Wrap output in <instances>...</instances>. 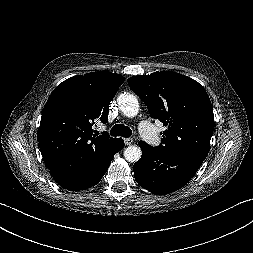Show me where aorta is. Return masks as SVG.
Returning a JSON list of instances; mask_svg holds the SVG:
<instances>
[{"mask_svg": "<svg viewBox=\"0 0 253 253\" xmlns=\"http://www.w3.org/2000/svg\"><path fill=\"white\" fill-rule=\"evenodd\" d=\"M119 109L129 118L135 117L139 111V102L136 96L130 93H122L117 99ZM142 155L140 147L131 145L124 151V157L129 162H137Z\"/></svg>", "mask_w": 253, "mask_h": 253, "instance_id": "762f6f07", "label": "aorta"}]
</instances>
